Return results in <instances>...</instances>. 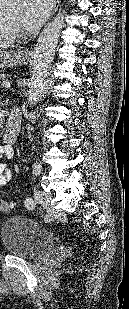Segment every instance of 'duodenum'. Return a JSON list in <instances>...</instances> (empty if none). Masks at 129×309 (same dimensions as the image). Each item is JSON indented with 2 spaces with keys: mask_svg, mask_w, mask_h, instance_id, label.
<instances>
[{
  "mask_svg": "<svg viewBox=\"0 0 129 309\" xmlns=\"http://www.w3.org/2000/svg\"><path fill=\"white\" fill-rule=\"evenodd\" d=\"M19 131V119L16 113H12L8 117L7 130L4 135L5 142L12 145L17 137Z\"/></svg>",
  "mask_w": 129,
  "mask_h": 309,
  "instance_id": "1",
  "label": "duodenum"
}]
</instances>
